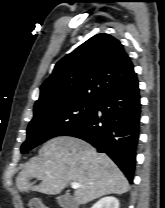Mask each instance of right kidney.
Here are the masks:
<instances>
[{
	"mask_svg": "<svg viewBox=\"0 0 165 208\" xmlns=\"http://www.w3.org/2000/svg\"><path fill=\"white\" fill-rule=\"evenodd\" d=\"M92 208H119V201L115 197H104L95 203Z\"/></svg>",
	"mask_w": 165,
	"mask_h": 208,
	"instance_id": "ca27d5eb",
	"label": "right kidney"
}]
</instances>
